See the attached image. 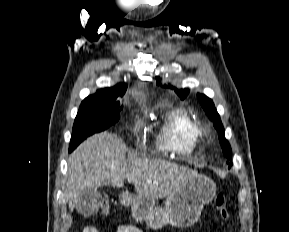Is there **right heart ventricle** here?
<instances>
[{
    "instance_id": "1",
    "label": "right heart ventricle",
    "mask_w": 289,
    "mask_h": 232,
    "mask_svg": "<svg viewBox=\"0 0 289 232\" xmlns=\"http://www.w3.org/2000/svg\"><path fill=\"white\" fill-rule=\"evenodd\" d=\"M198 125L183 108H171L160 119L156 133L159 150L177 154L192 152L199 142Z\"/></svg>"
}]
</instances>
